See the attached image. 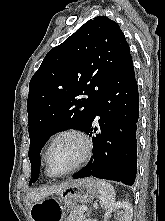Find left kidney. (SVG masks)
I'll use <instances>...</instances> for the list:
<instances>
[{
	"mask_svg": "<svg viewBox=\"0 0 165 221\" xmlns=\"http://www.w3.org/2000/svg\"><path fill=\"white\" fill-rule=\"evenodd\" d=\"M112 213H115L120 221H132L133 208L127 201H119L113 204V206L105 213L104 221H109Z\"/></svg>",
	"mask_w": 165,
	"mask_h": 221,
	"instance_id": "obj_1",
	"label": "left kidney"
}]
</instances>
